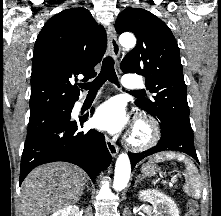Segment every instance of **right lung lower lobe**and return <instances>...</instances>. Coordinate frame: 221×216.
Instances as JSON below:
<instances>
[{"mask_svg": "<svg viewBox=\"0 0 221 216\" xmlns=\"http://www.w3.org/2000/svg\"><path fill=\"white\" fill-rule=\"evenodd\" d=\"M70 110L74 104L69 105ZM69 116L49 127L36 138L25 142L21 158L19 183L35 167L55 161H65L78 165L92 180L109 166L112 158L102 133L91 129L77 132L87 116L70 120Z\"/></svg>", "mask_w": 221, "mask_h": 216, "instance_id": "right-lung-lower-lobe-1", "label": "right lung lower lobe"}]
</instances>
